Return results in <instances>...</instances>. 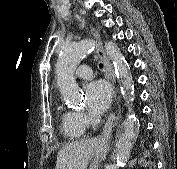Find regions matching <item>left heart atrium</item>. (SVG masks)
Here are the masks:
<instances>
[{
  "mask_svg": "<svg viewBox=\"0 0 177 169\" xmlns=\"http://www.w3.org/2000/svg\"><path fill=\"white\" fill-rule=\"evenodd\" d=\"M86 106L90 115H102L109 107L111 101L110 86L103 80L88 82L84 87Z\"/></svg>",
  "mask_w": 177,
  "mask_h": 169,
  "instance_id": "1",
  "label": "left heart atrium"
}]
</instances>
